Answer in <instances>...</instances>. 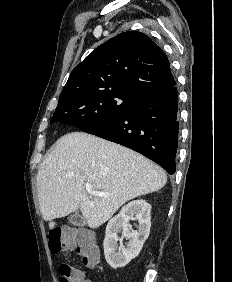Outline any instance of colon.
<instances>
[{
    "label": "colon",
    "mask_w": 232,
    "mask_h": 282,
    "mask_svg": "<svg viewBox=\"0 0 232 282\" xmlns=\"http://www.w3.org/2000/svg\"><path fill=\"white\" fill-rule=\"evenodd\" d=\"M49 249L52 254L58 255L64 249L76 250L82 257L84 264L93 267L99 259L98 249L91 234L84 230L63 231L56 228L49 233ZM59 282H80L76 269L62 263L58 266Z\"/></svg>",
    "instance_id": "5ec220e1"
}]
</instances>
